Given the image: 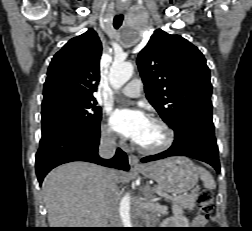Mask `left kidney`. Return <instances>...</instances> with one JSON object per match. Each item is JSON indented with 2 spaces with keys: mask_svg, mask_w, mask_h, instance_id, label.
Masks as SVG:
<instances>
[{
  "mask_svg": "<svg viewBox=\"0 0 252 231\" xmlns=\"http://www.w3.org/2000/svg\"><path fill=\"white\" fill-rule=\"evenodd\" d=\"M174 216L165 221V224L171 228H188L189 221L183 216V210L181 207L174 205L172 207Z\"/></svg>",
  "mask_w": 252,
  "mask_h": 231,
  "instance_id": "left-kidney-1",
  "label": "left kidney"
}]
</instances>
